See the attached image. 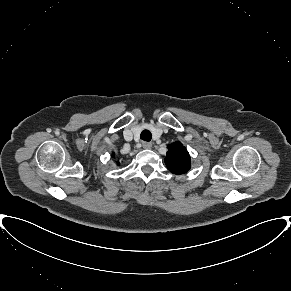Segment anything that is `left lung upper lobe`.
I'll return each instance as SVG.
<instances>
[{"mask_svg": "<svg viewBox=\"0 0 291 291\" xmlns=\"http://www.w3.org/2000/svg\"><path fill=\"white\" fill-rule=\"evenodd\" d=\"M168 149L165 163L169 171L177 175L186 173L191 167L187 149L178 141L169 145Z\"/></svg>", "mask_w": 291, "mask_h": 291, "instance_id": "obj_1", "label": "left lung upper lobe"}]
</instances>
